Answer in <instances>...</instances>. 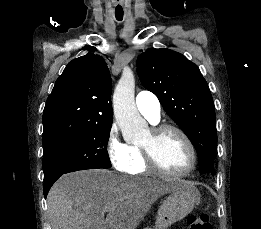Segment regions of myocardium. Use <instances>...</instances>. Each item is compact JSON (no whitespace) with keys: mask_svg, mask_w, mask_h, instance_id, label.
I'll list each match as a JSON object with an SVG mask.
<instances>
[{"mask_svg":"<svg viewBox=\"0 0 261 229\" xmlns=\"http://www.w3.org/2000/svg\"><path fill=\"white\" fill-rule=\"evenodd\" d=\"M167 132H174L180 135L188 147L191 156V162L189 167L185 171L171 172L166 168H164L159 162V160L157 159L156 150H155L156 144L159 141V139L162 137V135H164ZM141 148L144 152V156L149 166V169L160 175L168 176V177H184L189 175L196 167L197 155H196L194 144L189 138V136L179 127L163 124L152 128L150 130L148 140L145 143L141 144Z\"/></svg>","mask_w":261,"mask_h":229,"instance_id":"f54148a6","label":"myocardium"}]
</instances>
